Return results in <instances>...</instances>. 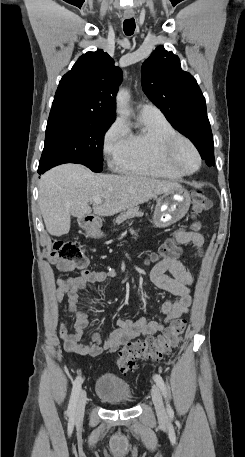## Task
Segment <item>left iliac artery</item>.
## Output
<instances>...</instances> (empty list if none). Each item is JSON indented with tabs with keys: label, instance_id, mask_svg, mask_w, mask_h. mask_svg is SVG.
<instances>
[{
	"label": "left iliac artery",
	"instance_id": "1",
	"mask_svg": "<svg viewBox=\"0 0 245 457\" xmlns=\"http://www.w3.org/2000/svg\"><path fill=\"white\" fill-rule=\"evenodd\" d=\"M154 380L157 383V385L160 388V390L162 391L164 397L167 398V388H166V385H165V382H164L162 376L160 374H155L154 375ZM167 411H168L169 415L173 416L174 412H173V410H172V408H171V406L169 404H167Z\"/></svg>",
	"mask_w": 245,
	"mask_h": 457
}]
</instances>
